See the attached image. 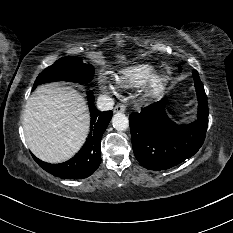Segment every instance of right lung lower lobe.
Masks as SVG:
<instances>
[{"label": "right lung lower lobe", "mask_w": 233, "mask_h": 233, "mask_svg": "<svg viewBox=\"0 0 233 233\" xmlns=\"http://www.w3.org/2000/svg\"><path fill=\"white\" fill-rule=\"evenodd\" d=\"M91 113V127L89 136L81 150L69 161L61 164H50L36 158L34 160L47 172L65 179H82L92 175L101 162V139L111 118L112 111L100 112L92 104L93 95L88 92Z\"/></svg>", "instance_id": "98d812e1"}]
</instances>
